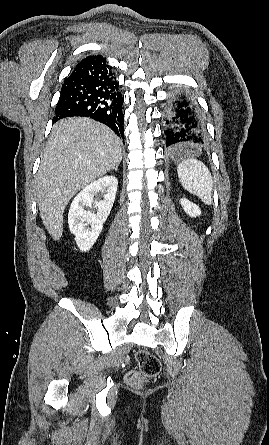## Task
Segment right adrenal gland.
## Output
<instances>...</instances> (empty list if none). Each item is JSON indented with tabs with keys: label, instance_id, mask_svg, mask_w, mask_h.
<instances>
[{
	"label": "right adrenal gland",
	"instance_id": "obj_1",
	"mask_svg": "<svg viewBox=\"0 0 269 445\" xmlns=\"http://www.w3.org/2000/svg\"><path fill=\"white\" fill-rule=\"evenodd\" d=\"M115 171H118V166L114 169Z\"/></svg>",
	"mask_w": 269,
	"mask_h": 445
}]
</instances>
